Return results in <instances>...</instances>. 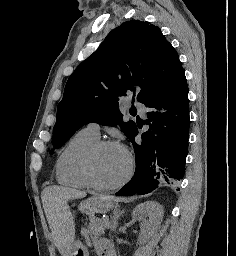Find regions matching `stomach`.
Returning <instances> with one entry per match:
<instances>
[{
    "instance_id": "obj_1",
    "label": "stomach",
    "mask_w": 236,
    "mask_h": 256,
    "mask_svg": "<svg viewBox=\"0 0 236 256\" xmlns=\"http://www.w3.org/2000/svg\"><path fill=\"white\" fill-rule=\"evenodd\" d=\"M113 203L104 196H94L79 204V210L83 214L92 215L95 213H106L113 208ZM70 256H89L87 247L80 241L73 245Z\"/></svg>"
}]
</instances>
